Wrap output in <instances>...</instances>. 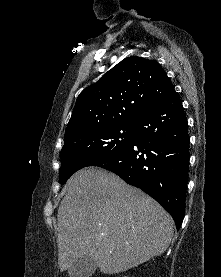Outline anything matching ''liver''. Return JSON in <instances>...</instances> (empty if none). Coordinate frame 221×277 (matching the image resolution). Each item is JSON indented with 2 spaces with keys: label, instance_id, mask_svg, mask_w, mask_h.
Masks as SVG:
<instances>
[{
  "label": "liver",
  "instance_id": "obj_1",
  "mask_svg": "<svg viewBox=\"0 0 221 277\" xmlns=\"http://www.w3.org/2000/svg\"><path fill=\"white\" fill-rule=\"evenodd\" d=\"M58 265L82 257L116 274L163 254L173 237L172 217L151 197L97 167L76 172L57 215Z\"/></svg>",
  "mask_w": 221,
  "mask_h": 277
}]
</instances>
